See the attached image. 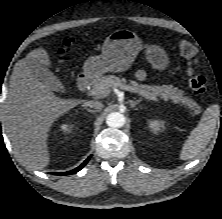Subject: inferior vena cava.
Listing matches in <instances>:
<instances>
[{"mask_svg": "<svg viewBox=\"0 0 222 219\" xmlns=\"http://www.w3.org/2000/svg\"><path fill=\"white\" fill-rule=\"evenodd\" d=\"M83 106L100 110L103 107V104L97 100H89V101H85L83 103Z\"/></svg>", "mask_w": 222, "mask_h": 219, "instance_id": "obj_1", "label": "inferior vena cava"}]
</instances>
